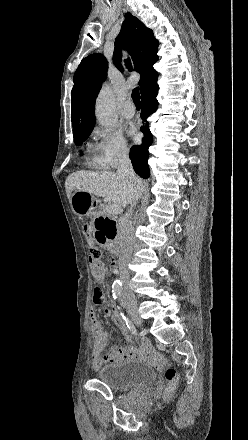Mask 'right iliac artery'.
<instances>
[{"label":"right iliac artery","mask_w":248,"mask_h":440,"mask_svg":"<svg viewBox=\"0 0 248 440\" xmlns=\"http://www.w3.org/2000/svg\"><path fill=\"white\" fill-rule=\"evenodd\" d=\"M112 293H113V298L114 299L118 298L120 296V294H121V288L119 286L113 287ZM121 315L123 316V319H125L124 314L121 313Z\"/></svg>","instance_id":"82829eb1"}]
</instances>
